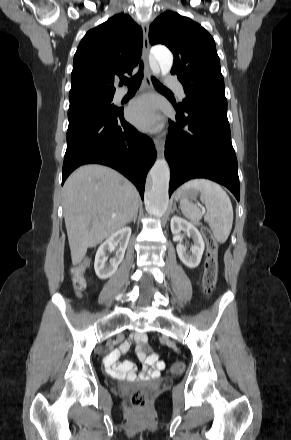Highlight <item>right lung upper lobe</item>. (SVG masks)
Masks as SVG:
<instances>
[{
	"mask_svg": "<svg viewBox=\"0 0 291 440\" xmlns=\"http://www.w3.org/2000/svg\"><path fill=\"white\" fill-rule=\"evenodd\" d=\"M142 44V29L127 14L114 15L88 31L74 56L69 100L114 95V81L132 75Z\"/></svg>",
	"mask_w": 291,
	"mask_h": 440,
	"instance_id": "cb5924a9",
	"label": "right lung upper lobe"
}]
</instances>
